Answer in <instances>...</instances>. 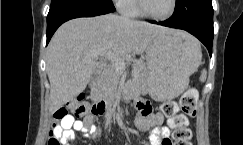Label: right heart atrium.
Instances as JSON below:
<instances>
[{"label": "right heart atrium", "mask_w": 243, "mask_h": 145, "mask_svg": "<svg viewBox=\"0 0 243 145\" xmlns=\"http://www.w3.org/2000/svg\"><path fill=\"white\" fill-rule=\"evenodd\" d=\"M119 8H123L129 0H113Z\"/></svg>", "instance_id": "1"}]
</instances>
